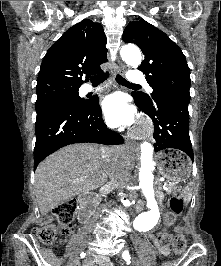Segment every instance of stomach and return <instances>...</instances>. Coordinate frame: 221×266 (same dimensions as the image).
<instances>
[{
  "label": "stomach",
  "mask_w": 221,
  "mask_h": 266,
  "mask_svg": "<svg viewBox=\"0 0 221 266\" xmlns=\"http://www.w3.org/2000/svg\"><path fill=\"white\" fill-rule=\"evenodd\" d=\"M157 166L159 173L174 183L188 179L192 169L191 162L186 156L174 149L158 153Z\"/></svg>",
  "instance_id": "stomach-1"
}]
</instances>
